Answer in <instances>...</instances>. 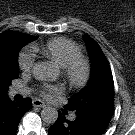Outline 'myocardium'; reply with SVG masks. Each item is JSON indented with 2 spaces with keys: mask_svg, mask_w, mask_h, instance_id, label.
Instances as JSON below:
<instances>
[{
  "mask_svg": "<svg viewBox=\"0 0 135 135\" xmlns=\"http://www.w3.org/2000/svg\"><path fill=\"white\" fill-rule=\"evenodd\" d=\"M62 76L73 88L85 87L91 78V65L88 59L78 56L62 68Z\"/></svg>",
  "mask_w": 135,
  "mask_h": 135,
  "instance_id": "f54148a6",
  "label": "myocardium"
}]
</instances>
